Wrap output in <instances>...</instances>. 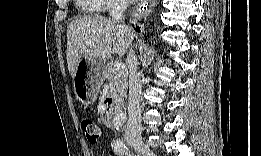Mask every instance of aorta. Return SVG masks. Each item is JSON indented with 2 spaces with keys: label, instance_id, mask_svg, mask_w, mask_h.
Instances as JSON below:
<instances>
[{
  "label": "aorta",
  "instance_id": "762f6f07",
  "mask_svg": "<svg viewBox=\"0 0 261 156\" xmlns=\"http://www.w3.org/2000/svg\"><path fill=\"white\" fill-rule=\"evenodd\" d=\"M125 120H126L125 114L122 112H117L114 115V119H113L114 126L119 128L120 126H122L125 123Z\"/></svg>",
  "mask_w": 261,
  "mask_h": 156
}]
</instances>
